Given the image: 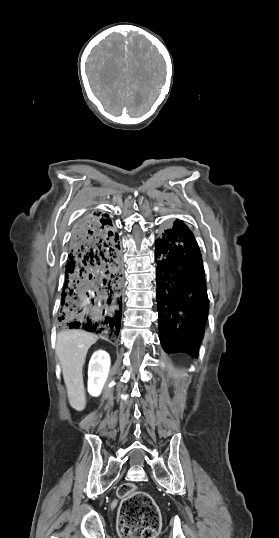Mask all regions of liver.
Wrapping results in <instances>:
<instances>
[{
	"label": "liver",
	"mask_w": 279,
	"mask_h": 538,
	"mask_svg": "<svg viewBox=\"0 0 279 538\" xmlns=\"http://www.w3.org/2000/svg\"><path fill=\"white\" fill-rule=\"evenodd\" d=\"M97 340V336L84 330H62L57 336L56 356L61 364L69 404L77 412L84 410L86 404L82 376L85 358Z\"/></svg>",
	"instance_id": "6515ba94"
}]
</instances>
